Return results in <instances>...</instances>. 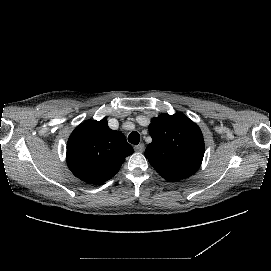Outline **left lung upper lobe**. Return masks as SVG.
<instances>
[{"label":"left lung upper lobe","mask_w":271,"mask_h":271,"mask_svg":"<svg viewBox=\"0 0 271 271\" xmlns=\"http://www.w3.org/2000/svg\"><path fill=\"white\" fill-rule=\"evenodd\" d=\"M152 142L145 157L166 180L178 181L193 175L200 167L205 151L202 132L182 113L160 114L151 120Z\"/></svg>","instance_id":"1"}]
</instances>
